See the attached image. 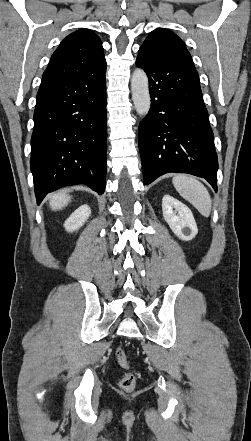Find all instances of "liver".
Listing matches in <instances>:
<instances>
[{
    "label": "liver",
    "mask_w": 251,
    "mask_h": 441,
    "mask_svg": "<svg viewBox=\"0 0 251 441\" xmlns=\"http://www.w3.org/2000/svg\"><path fill=\"white\" fill-rule=\"evenodd\" d=\"M70 202V196L65 192H58L50 197V207L53 210H59L67 206Z\"/></svg>",
    "instance_id": "obj_1"
}]
</instances>
